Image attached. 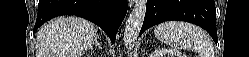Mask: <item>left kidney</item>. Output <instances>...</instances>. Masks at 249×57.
<instances>
[{
	"mask_svg": "<svg viewBox=\"0 0 249 57\" xmlns=\"http://www.w3.org/2000/svg\"><path fill=\"white\" fill-rule=\"evenodd\" d=\"M151 57H186V55L176 49L159 48L151 54Z\"/></svg>",
	"mask_w": 249,
	"mask_h": 57,
	"instance_id": "5707ae66",
	"label": "left kidney"
}]
</instances>
